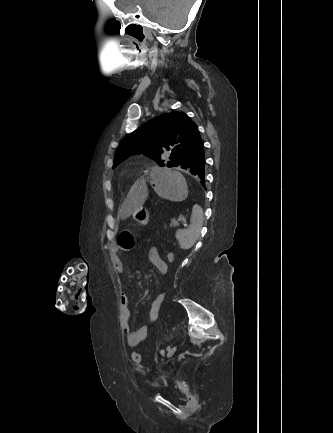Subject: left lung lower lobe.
Returning <instances> with one entry per match:
<instances>
[{"label":"left lung lower lobe","instance_id":"left-lung-lower-lobe-1","mask_svg":"<svg viewBox=\"0 0 333 433\" xmlns=\"http://www.w3.org/2000/svg\"><path fill=\"white\" fill-rule=\"evenodd\" d=\"M176 167L196 176L201 184L205 185V152L202 140L178 161Z\"/></svg>","mask_w":333,"mask_h":433}]
</instances>
